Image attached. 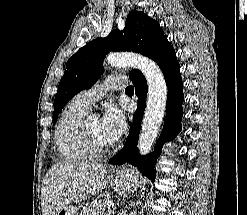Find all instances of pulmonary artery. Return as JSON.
<instances>
[{
  "label": "pulmonary artery",
  "instance_id": "1",
  "mask_svg": "<svg viewBox=\"0 0 247 215\" xmlns=\"http://www.w3.org/2000/svg\"><path fill=\"white\" fill-rule=\"evenodd\" d=\"M127 84V78L122 75L109 76L99 84L79 92L74 97V102L88 110L90 106L100 99L109 90H120Z\"/></svg>",
  "mask_w": 247,
  "mask_h": 215
}]
</instances>
